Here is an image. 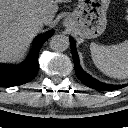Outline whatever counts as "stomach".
<instances>
[{"label": "stomach", "mask_w": 128, "mask_h": 128, "mask_svg": "<svg viewBox=\"0 0 128 128\" xmlns=\"http://www.w3.org/2000/svg\"><path fill=\"white\" fill-rule=\"evenodd\" d=\"M110 0H78L76 9L65 19V25L80 37L92 39L106 29Z\"/></svg>", "instance_id": "1"}]
</instances>
